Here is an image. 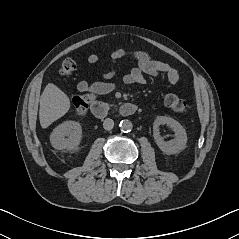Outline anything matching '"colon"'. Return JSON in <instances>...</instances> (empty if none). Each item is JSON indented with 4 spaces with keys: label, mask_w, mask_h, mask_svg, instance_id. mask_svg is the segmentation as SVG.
<instances>
[{
    "label": "colon",
    "mask_w": 239,
    "mask_h": 239,
    "mask_svg": "<svg viewBox=\"0 0 239 239\" xmlns=\"http://www.w3.org/2000/svg\"><path fill=\"white\" fill-rule=\"evenodd\" d=\"M77 69L76 61L69 57L63 60L60 66V74L63 76H68L73 74ZM91 101L90 95H80L76 96L73 100V106L77 115H84L88 110L89 103ZM166 105L173 111L181 114L187 115L190 112L191 106L185 100L179 98L175 94H167L165 96Z\"/></svg>",
    "instance_id": "colon-1"
}]
</instances>
